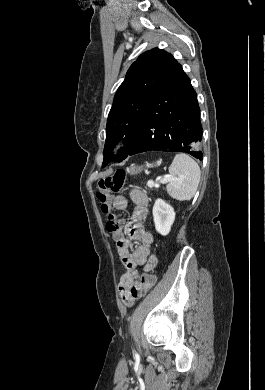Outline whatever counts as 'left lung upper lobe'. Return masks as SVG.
Instances as JSON below:
<instances>
[{
	"label": "left lung upper lobe",
	"mask_w": 265,
	"mask_h": 390,
	"mask_svg": "<svg viewBox=\"0 0 265 390\" xmlns=\"http://www.w3.org/2000/svg\"><path fill=\"white\" fill-rule=\"evenodd\" d=\"M176 65L170 53L154 48L141 54L130 66L108 115L103 167L112 161L111 146L124 136L126 146L113 161L121 162L127 157L139 135L147 107Z\"/></svg>",
	"instance_id": "left-lung-upper-lobe-1"
}]
</instances>
